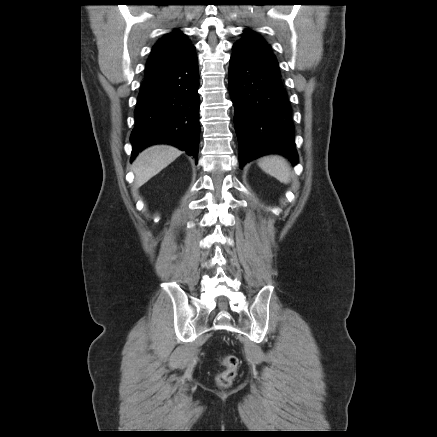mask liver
<instances>
[{"label": "liver", "mask_w": 437, "mask_h": 437, "mask_svg": "<svg viewBox=\"0 0 437 437\" xmlns=\"http://www.w3.org/2000/svg\"><path fill=\"white\" fill-rule=\"evenodd\" d=\"M181 151L169 145H153L143 150L132 164L135 185L140 187L181 155Z\"/></svg>", "instance_id": "6515ba94"}]
</instances>
